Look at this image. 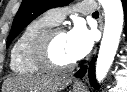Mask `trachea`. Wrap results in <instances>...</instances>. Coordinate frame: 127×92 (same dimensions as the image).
<instances>
[{
	"instance_id": "obj_1",
	"label": "trachea",
	"mask_w": 127,
	"mask_h": 92,
	"mask_svg": "<svg viewBox=\"0 0 127 92\" xmlns=\"http://www.w3.org/2000/svg\"><path fill=\"white\" fill-rule=\"evenodd\" d=\"M92 15H93V16H98V15H99V12L96 11V12H94Z\"/></svg>"
}]
</instances>
